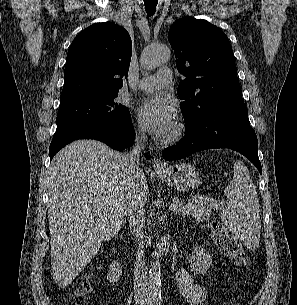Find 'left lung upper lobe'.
I'll return each mask as SVG.
<instances>
[{
  "mask_svg": "<svg viewBox=\"0 0 297 305\" xmlns=\"http://www.w3.org/2000/svg\"><path fill=\"white\" fill-rule=\"evenodd\" d=\"M168 40L179 71L187 76L177 89L186 123L241 97L232 47L218 27L203 19L182 18L170 27Z\"/></svg>",
  "mask_w": 297,
  "mask_h": 305,
  "instance_id": "5c2ea615",
  "label": "left lung upper lobe"
}]
</instances>
